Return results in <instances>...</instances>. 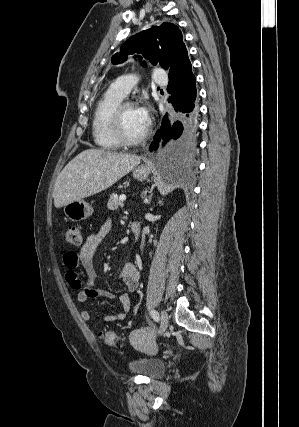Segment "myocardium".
<instances>
[{
    "label": "myocardium",
    "instance_id": "1",
    "mask_svg": "<svg viewBox=\"0 0 299 427\" xmlns=\"http://www.w3.org/2000/svg\"><path fill=\"white\" fill-rule=\"evenodd\" d=\"M135 107V104L131 101H121L112 111L110 115V131L114 139L119 145L122 146H135L142 143L149 134V129L136 138H128L122 128V114L125 108Z\"/></svg>",
    "mask_w": 299,
    "mask_h": 427
}]
</instances>
